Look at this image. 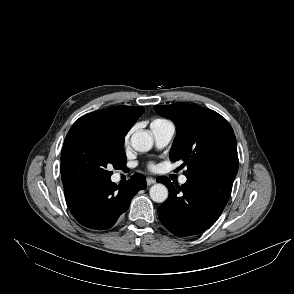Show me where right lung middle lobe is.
Listing matches in <instances>:
<instances>
[{"label": "right lung middle lobe", "mask_w": 294, "mask_h": 294, "mask_svg": "<svg viewBox=\"0 0 294 294\" xmlns=\"http://www.w3.org/2000/svg\"><path fill=\"white\" fill-rule=\"evenodd\" d=\"M126 166L124 136L102 131H77L67 136L61 152L64 187L110 179V169Z\"/></svg>", "instance_id": "1"}]
</instances>
